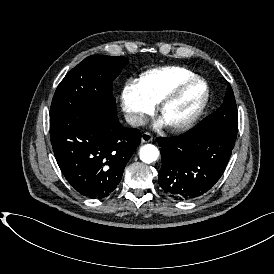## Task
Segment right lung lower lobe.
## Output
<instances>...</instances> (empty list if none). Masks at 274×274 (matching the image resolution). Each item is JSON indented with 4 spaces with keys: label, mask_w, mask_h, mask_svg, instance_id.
<instances>
[{
    "label": "right lung lower lobe",
    "mask_w": 274,
    "mask_h": 274,
    "mask_svg": "<svg viewBox=\"0 0 274 274\" xmlns=\"http://www.w3.org/2000/svg\"><path fill=\"white\" fill-rule=\"evenodd\" d=\"M56 161L66 180L91 198H105L119 184L141 132L123 127L116 111H93L50 124Z\"/></svg>",
    "instance_id": "1"
}]
</instances>
